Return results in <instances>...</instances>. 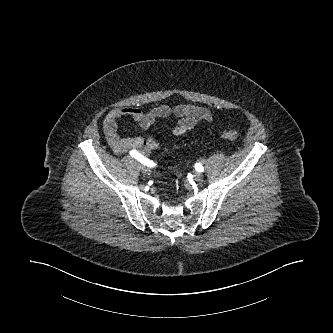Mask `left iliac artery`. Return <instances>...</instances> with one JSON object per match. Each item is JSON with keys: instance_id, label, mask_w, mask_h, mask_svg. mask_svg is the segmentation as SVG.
Returning a JSON list of instances; mask_svg holds the SVG:
<instances>
[{"instance_id": "1", "label": "left iliac artery", "mask_w": 333, "mask_h": 333, "mask_svg": "<svg viewBox=\"0 0 333 333\" xmlns=\"http://www.w3.org/2000/svg\"><path fill=\"white\" fill-rule=\"evenodd\" d=\"M195 169H196V171H198V172H203V171H204V168H203V166H202L201 163H196V164H195Z\"/></svg>"}]
</instances>
